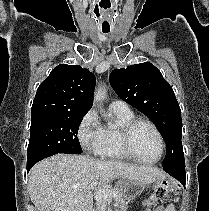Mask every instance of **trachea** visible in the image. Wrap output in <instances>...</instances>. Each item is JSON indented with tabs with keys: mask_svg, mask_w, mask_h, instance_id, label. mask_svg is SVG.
Listing matches in <instances>:
<instances>
[{
	"mask_svg": "<svg viewBox=\"0 0 209 211\" xmlns=\"http://www.w3.org/2000/svg\"><path fill=\"white\" fill-rule=\"evenodd\" d=\"M104 33H108L109 31H103Z\"/></svg>",
	"mask_w": 209,
	"mask_h": 211,
	"instance_id": "3493384b",
	"label": "trachea"
}]
</instances>
